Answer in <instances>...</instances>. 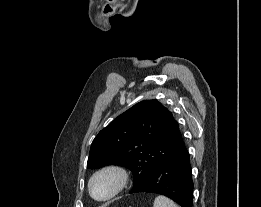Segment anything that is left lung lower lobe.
<instances>
[{
	"label": "left lung lower lobe",
	"instance_id": "left-lung-lower-lobe-1",
	"mask_svg": "<svg viewBox=\"0 0 261 207\" xmlns=\"http://www.w3.org/2000/svg\"><path fill=\"white\" fill-rule=\"evenodd\" d=\"M141 192L164 195L181 207H192L193 180L190 156L184 142L173 157L136 184L129 193Z\"/></svg>",
	"mask_w": 261,
	"mask_h": 207
}]
</instances>
